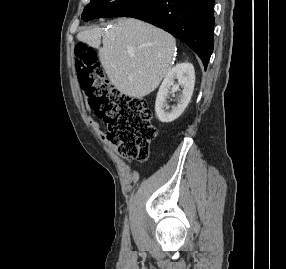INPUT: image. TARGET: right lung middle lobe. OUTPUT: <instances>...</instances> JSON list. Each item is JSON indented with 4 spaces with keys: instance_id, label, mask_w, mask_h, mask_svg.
<instances>
[{
    "instance_id": "dd1d6c3e",
    "label": "right lung middle lobe",
    "mask_w": 286,
    "mask_h": 269,
    "mask_svg": "<svg viewBox=\"0 0 286 269\" xmlns=\"http://www.w3.org/2000/svg\"><path fill=\"white\" fill-rule=\"evenodd\" d=\"M151 0H91L84 8L82 20L128 16Z\"/></svg>"
}]
</instances>
